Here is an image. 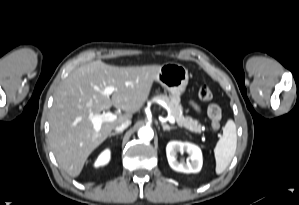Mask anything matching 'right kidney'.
<instances>
[{"label":"right kidney","mask_w":299,"mask_h":205,"mask_svg":"<svg viewBox=\"0 0 299 205\" xmlns=\"http://www.w3.org/2000/svg\"><path fill=\"white\" fill-rule=\"evenodd\" d=\"M110 160V150H104L94 163L95 167L104 166Z\"/></svg>","instance_id":"obj_1"}]
</instances>
